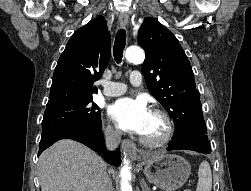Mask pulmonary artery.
<instances>
[{
    "label": "pulmonary artery",
    "mask_w": 251,
    "mask_h": 191,
    "mask_svg": "<svg viewBox=\"0 0 251 191\" xmlns=\"http://www.w3.org/2000/svg\"><path fill=\"white\" fill-rule=\"evenodd\" d=\"M130 83L134 86H139L142 83L143 77L141 73L134 70L129 76ZM99 84L103 87V94L106 96H119L126 92L127 86L121 82H111L104 79L99 80Z\"/></svg>",
    "instance_id": "e3ab8cb5"
}]
</instances>
